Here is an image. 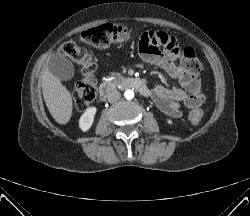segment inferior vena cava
Here are the masks:
<instances>
[{
	"mask_svg": "<svg viewBox=\"0 0 250 216\" xmlns=\"http://www.w3.org/2000/svg\"><path fill=\"white\" fill-rule=\"evenodd\" d=\"M120 98H121V93L118 90H113L109 92L107 95L108 102L110 103H114L118 101Z\"/></svg>",
	"mask_w": 250,
	"mask_h": 216,
	"instance_id": "obj_1",
	"label": "inferior vena cava"
}]
</instances>
